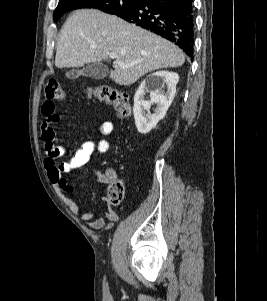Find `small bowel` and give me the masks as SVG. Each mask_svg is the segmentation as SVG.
<instances>
[{
    "label": "small bowel",
    "mask_w": 267,
    "mask_h": 301,
    "mask_svg": "<svg viewBox=\"0 0 267 301\" xmlns=\"http://www.w3.org/2000/svg\"><path fill=\"white\" fill-rule=\"evenodd\" d=\"M42 114L44 120L41 124L42 138L45 143L46 157L44 167L47 171L48 178L53 184L56 192L62 201L69 207L71 213L81 220L91 229H110L117 221V212L109 207L108 211L101 217H96L93 212H80L78 204L70 196L73 192V187L68 184L63 177L65 173L73 170H83L91 160L95 151L106 153L111 147V143L107 139L96 141L88 139L75 151L69 161L58 164L56 160L66 153V149L59 145L56 141V134L53 125L59 120V115L56 112V106L53 100L45 99L42 104ZM113 131V124L110 121L102 122L97 128V132L102 136H109ZM92 175L100 183L108 184L115 173L108 170L102 173L98 170H92ZM102 200L107 202L105 197Z\"/></svg>",
    "instance_id": "small-bowel-1"
}]
</instances>
